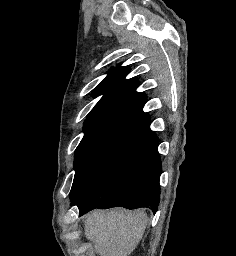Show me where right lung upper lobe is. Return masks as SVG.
<instances>
[{"mask_svg":"<svg viewBox=\"0 0 236 256\" xmlns=\"http://www.w3.org/2000/svg\"><path fill=\"white\" fill-rule=\"evenodd\" d=\"M129 67L112 68L107 77L94 89L93 96L103 95L87 116L86 122L108 117L149 122V115L143 112L146 95L136 92L138 81L125 79Z\"/></svg>","mask_w":236,"mask_h":256,"instance_id":"cb5924a9","label":"right lung upper lobe"}]
</instances>
